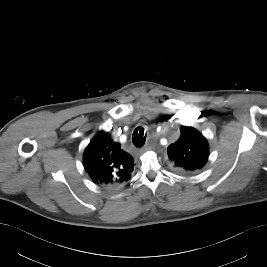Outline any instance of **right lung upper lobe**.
Instances as JSON below:
<instances>
[{
    "mask_svg": "<svg viewBox=\"0 0 267 267\" xmlns=\"http://www.w3.org/2000/svg\"><path fill=\"white\" fill-rule=\"evenodd\" d=\"M133 158L111 139L110 134L100 131L84 152L83 165L95 184L118 187L131 178Z\"/></svg>",
    "mask_w": 267,
    "mask_h": 267,
    "instance_id": "obj_1",
    "label": "right lung upper lobe"
}]
</instances>
